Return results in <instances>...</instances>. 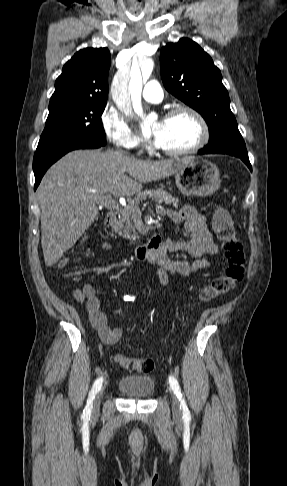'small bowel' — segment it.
I'll return each mask as SVG.
<instances>
[{"mask_svg": "<svg viewBox=\"0 0 287 486\" xmlns=\"http://www.w3.org/2000/svg\"><path fill=\"white\" fill-rule=\"evenodd\" d=\"M159 214L168 216L179 227L178 236H168L162 240L159 251L147 259L158 267L159 279L162 285H167L172 275H189L208 266V261L202 255H217L218 246L213 234L207 227L206 218L191 205H185L180 210L160 209ZM104 250L111 249V244H103ZM173 254H186L196 257L193 263L174 258ZM65 263V260L61 262ZM85 305L92 327L97 331L104 344L117 343L122 335L118 327L112 326L106 314L101 310L99 295L101 287L84 284L81 288Z\"/></svg>", "mask_w": 287, "mask_h": 486, "instance_id": "small-bowel-1", "label": "small bowel"}]
</instances>
